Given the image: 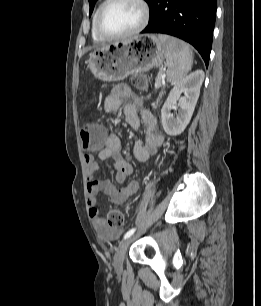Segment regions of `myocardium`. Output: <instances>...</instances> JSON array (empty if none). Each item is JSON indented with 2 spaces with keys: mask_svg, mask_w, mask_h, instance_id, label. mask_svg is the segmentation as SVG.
<instances>
[{
  "mask_svg": "<svg viewBox=\"0 0 261 306\" xmlns=\"http://www.w3.org/2000/svg\"><path fill=\"white\" fill-rule=\"evenodd\" d=\"M117 1L119 0H106L103 3V5L100 7L97 13L96 20H95V30H96V33L104 40H120V39L132 37L140 33L147 26L149 22L150 9H149V5L147 1L146 0H132L133 2L138 4L142 10V19L140 23L138 24V26L132 31L128 33H124V34L108 33L102 26V18L107 8L111 6L112 4L116 3Z\"/></svg>",
  "mask_w": 261,
  "mask_h": 306,
  "instance_id": "obj_1",
  "label": "myocardium"
}]
</instances>
